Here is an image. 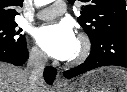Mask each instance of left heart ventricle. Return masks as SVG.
Returning a JSON list of instances; mask_svg holds the SVG:
<instances>
[{"label": "left heart ventricle", "instance_id": "b2bd125f", "mask_svg": "<svg viewBox=\"0 0 127 92\" xmlns=\"http://www.w3.org/2000/svg\"><path fill=\"white\" fill-rule=\"evenodd\" d=\"M77 51H78V43H77L76 50H75L73 56L77 53ZM73 56H72V57H73Z\"/></svg>", "mask_w": 127, "mask_h": 92}]
</instances>
